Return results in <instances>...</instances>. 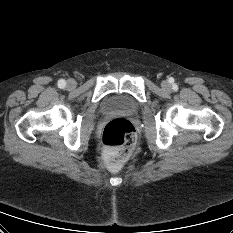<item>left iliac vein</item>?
<instances>
[{
	"label": "left iliac vein",
	"mask_w": 233,
	"mask_h": 233,
	"mask_svg": "<svg viewBox=\"0 0 233 233\" xmlns=\"http://www.w3.org/2000/svg\"><path fill=\"white\" fill-rule=\"evenodd\" d=\"M162 88L166 91H170L171 90V85L169 84L168 81H163L161 84Z\"/></svg>",
	"instance_id": "4c4485c4"
}]
</instances>
